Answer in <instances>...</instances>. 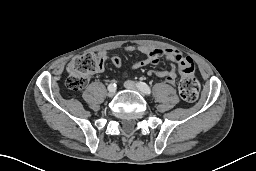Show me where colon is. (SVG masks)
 Instances as JSON below:
<instances>
[{
  "label": "colon",
  "mask_w": 256,
  "mask_h": 171,
  "mask_svg": "<svg viewBox=\"0 0 256 171\" xmlns=\"http://www.w3.org/2000/svg\"><path fill=\"white\" fill-rule=\"evenodd\" d=\"M103 61L95 53H87L74 58L68 65L67 88L72 92L83 89L89 76L98 71ZM179 68L182 78L178 86L181 98L187 102H194L198 98L199 83L194 76L195 65L190 57L179 59Z\"/></svg>",
  "instance_id": "5ec220e1"
}]
</instances>
